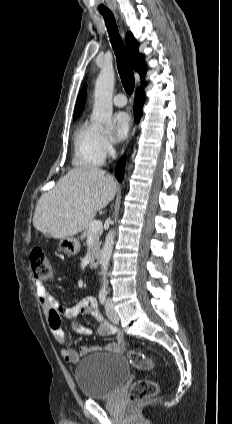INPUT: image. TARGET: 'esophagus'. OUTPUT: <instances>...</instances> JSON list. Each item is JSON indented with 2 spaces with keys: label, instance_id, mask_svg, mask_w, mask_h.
<instances>
[{
  "label": "esophagus",
  "instance_id": "obj_1",
  "mask_svg": "<svg viewBox=\"0 0 232 424\" xmlns=\"http://www.w3.org/2000/svg\"><path fill=\"white\" fill-rule=\"evenodd\" d=\"M134 133H135V125H134V120H132V126H131L129 137L133 136Z\"/></svg>",
  "mask_w": 232,
  "mask_h": 424
}]
</instances>
